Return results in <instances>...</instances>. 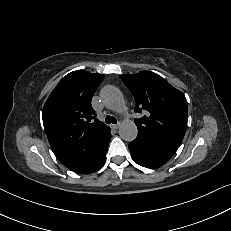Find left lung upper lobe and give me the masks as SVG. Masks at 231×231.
I'll return each instance as SVG.
<instances>
[{
    "mask_svg": "<svg viewBox=\"0 0 231 231\" xmlns=\"http://www.w3.org/2000/svg\"><path fill=\"white\" fill-rule=\"evenodd\" d=\"M120 78L135 97V112L146 111L145 116L135 119L138 136L178 149L187 128L184 94L153 72L141 71Z\"/></svg>",
    "mask_w": 231,
    "mask_h": 231,
    "instance_id": "5c2ea615",
    "label": "left lung upper lobe"
}]
</instances>
